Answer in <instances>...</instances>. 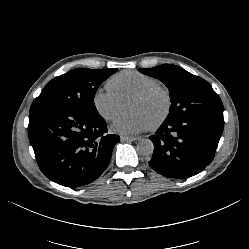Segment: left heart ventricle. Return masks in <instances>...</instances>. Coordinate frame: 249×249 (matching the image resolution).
<instances>
[{
    "mask_svg": "<svg viewBox=\"0 0 249 249\" xmlns=\"http://www.w3.org/2000/svg\"><path fill=\"white\" fill-rule=\"evenodd\" d=\"M164 102L160 95H156L148 100H131L130 112L142 115L149 125L154 123L162 114Z\"/></svg>",
    "mask_w": 249,
    "mask_h": 249,
    "instance_id": "left-heart-ventricle-1",
    "label": "left heart ventricle"
}]
</instances>
